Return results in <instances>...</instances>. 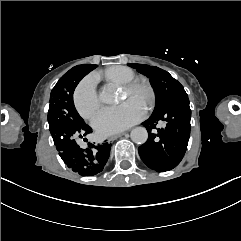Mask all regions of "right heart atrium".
I'll return each mask as SVG.
<instances>
[{
	"label": "right heart atrium",
	"mask_w": 241,
	"mask_h": 241,
	"mask_svg": "<svg viewBox=\"0 0 241 241\" xmlns=\"http://www.w3.org/2000/svg\"><path fill=\"white\" fill-rule=\"evenodd\" d=\"M100 76L92 73L87 76L85 81L74 92V106L81 117L89 119L100 107V102L96 96V92L100 86Z\"/></svg>",
	"instance_id": "1"
}]
</instances>
